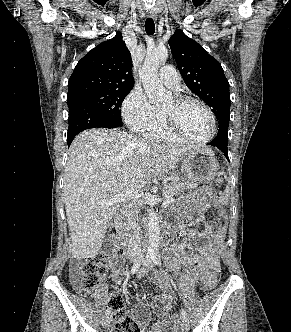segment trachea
<instances>
[{"mask_svg":"<svg viewBox=\"0 0 291 332\" xmlns=\"http://www.w3.org/2000/svg\"><path fill=\"white\" fill-rule=\"evenodd\" d=\"M145 30L147 34L152 35L155 32V24L152 18H148L145 21Z\"/></svg>","mask_w":291,"mask_h":332,"instance_id":"trachea-1","label":"trachea"}]
</instances>
